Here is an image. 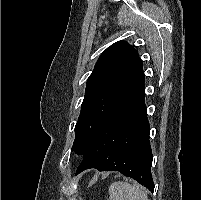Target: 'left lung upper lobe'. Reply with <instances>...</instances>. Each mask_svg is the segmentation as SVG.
Here are the masks:
<instances>
[{
    "label": "left lung upper lobe",
    "mask_w": 201,
    "mask_h": 200,
    "mask_svg": "<svg viewBox=\"0 0 201 200\" xmlns=\"http://www.w3.org/2000/svg\"><path fill=\"white\" fill-rule=\"evenodd\" d=\"M143 80L137 50L126 41L109 46L87 79L72 151L83 156L106 117Z\"/></svg>",
    "instance_id": "obj_1"
}]
</instances>
